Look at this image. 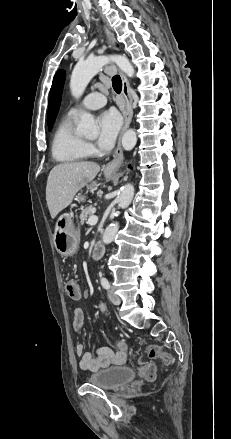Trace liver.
<instances>
[{"mask_svg": "<svg viewBox=\"0 0 231 439\" xmlns=\"http://www.w3.org/2000/svg\"><path fill=\"white\" fill-rule=\"evenodd\" d=\"M100 171L94 162H71L56 165L49 173L46 185V201L54 219L69 206L76 193L91 182Z\"/></svg>", "mask_w": 231, "mask_h": 439, "instance_id": "1", "label": "liver"}]
</instances>
